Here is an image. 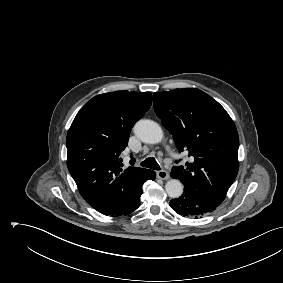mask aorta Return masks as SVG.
I'll return each mask as SVG.
<instances>
[{"instance_id":"obj_1","label":"aorta","mask_w":283,"mask_h":283,"mask_svg":"<svg viewBox=\"0 0 283 283\" xmlns=\"http://www.w3.org/2000/svg\"><path fill=\"white\" fill-rule=\"evenodd\" d=\"M135 135L144 143L157 144L163 138L162 128L152 120H139L134 126ZM165 190L169 197L178 198L183 193V185L177 179H171L165 184Z\"/></svg>"}]
</instances>
